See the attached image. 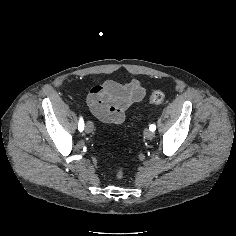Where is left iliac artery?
Masks as SVG:
<instances>
[{"instance_id":"1","label":"left iliac artery","mask_w":236,"mask_h":236,"mask_svg":"<svg viewBox=\"0 0 236 236\" xmlns=\"http://www.w3.org/2000/svg\"><path fill=\"white\" fill-rule=\"evenodd\" d=\"M149 129H150L151 131H155V130H156V125H155V124H151L150 127H149Z\"/></svg>"}]
</instances>
